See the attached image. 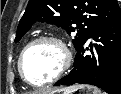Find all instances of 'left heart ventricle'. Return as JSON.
<instances>
[{"label": "left heart ventricle", "mask_w": 121, "mask_h": 94, "mask_svg": "<svg viewBox=\"0 0 121 94\" xmlns=\"http://www.w3.org/2000/svg\"><path fill=\"white\" fill-rule=\"evenodd\" d=\"M61 54L57 46L43 42L30 48L23 60L26 77L33 83L50 79L57 71Z\"/></svg>", "instance_id": "1"}]
</instances>
